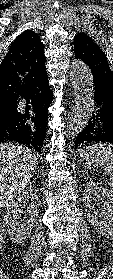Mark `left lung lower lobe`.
Wrapping results in <instances>:
<instances>
[{"label":"left lung lower lobe","instance_id":"1","mask_svg":"<svg viewBox=\"0 0 113 279\" xmlns=\"http://www.w3.org/2000/svg\"><path fill=\"white\" fill-rule=\"evenodd\" d=\"M95 107L88 124L74 141L75 147L91 143L113 144V81L92 72Z\"/></svg>","mask_w":113,"mask_h":279}]
</instances>
